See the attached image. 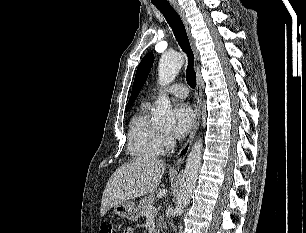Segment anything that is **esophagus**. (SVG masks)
Here are the masks:
<instances>
[{
  "label": "esophagus",
  "instance_id": "1",
  "mask_svg": "<svg viewBox=\"0 0 306 233\" xmlns=\"http://www.w3.org/2000/svg\"><path fill=\"white\" fill-rule=\"evenodd\" d=\"M172 6L175 9V11L178 13V15L180 16V18H181V20H182V22L185 26L187 36H188V39L190 41L191 48H192L194 56H195V61H197L198 51L196 49L195 40H194V38L191 34L190 23L188 22V20L186 18L184 10L178 4L173 3ZM201 106H202V89H201V78H200V75L198 73L197 74V87H196V92H195V122H194L193 128L191 130V133L189 135V138L187 139L186 143L184 144V146L181 148V150L177 154L176 160L174 162L175 166H178L183 162V160L185 159L186 155L188 154V152L191 148L193 139L195 137V134H196L197 129H198L199 124H200Z\"/></svg>",
  "mask_w": 306,
  "mask_h": 233
}]
</instances>
